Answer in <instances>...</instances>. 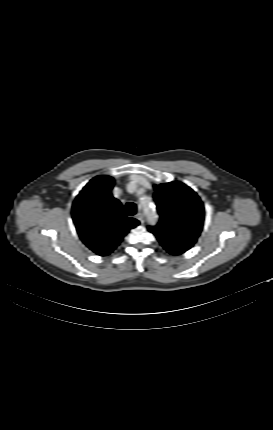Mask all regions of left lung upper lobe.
<instances>
[{
    "label": "left lung upper lobe",
    "mask_w": 273,
    "mask_h": 430,
    "mask_svg": "<svg viewBox=\"0 0 273 430\" xmlns=\"http://www.w3.org/2000/svg\"><path fill=\"white\" fill-rule=\"evenodd\" d=\"M154 189L160 219L148 230L168 253L180 255L196 243L202 231L203 203L190 187L181 182L154 185Z\"/></svg>",
    "instance_id": "1"
}]
</instances>
